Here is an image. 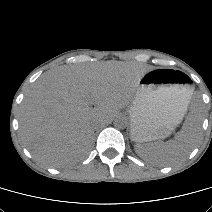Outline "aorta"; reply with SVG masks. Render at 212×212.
<instances>
[{"label": "aorta", "instance_id": "obj_1", "mask_svg": "<svg viewBox=\"0 0 212 212\" xmlns=\"http://www.w3.org/2000/svg\"><path fill=\"white\" fill-rule=\"evenodd\" d=\"M114 127L117 129H125L128 125V120L124 116H118L114 120Z\"/></svg>", "mask_w": 212, "mask_h": 212}]
</instances>
